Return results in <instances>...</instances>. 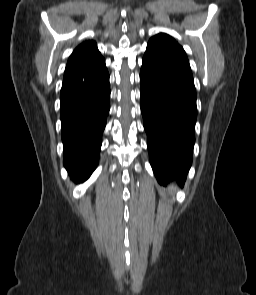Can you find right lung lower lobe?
<instances>
[{
    "label": "right lung lower lobe",
    "mask_w": 256,
    "mask_h": 295,
    "mask_svg": "<svg viewBox=\"0 0 256 295\" xmlns=\"http://www.w3.org/2000/svg\"><path fill=\"white\" fill-rule=\"evenodd\" d=\"M109 98L103 57L65 70L60 93L63 164L79 181L88 179L97 167Z\"/></svg>",
    "instance_id": "right-lung-lower-lobe-1"
}]
</instances>
